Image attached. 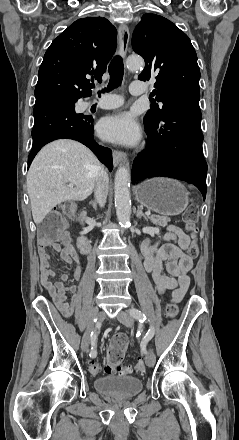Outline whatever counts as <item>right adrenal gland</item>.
Masks as SVG:
<instances>
[{
    "mask_svg": "<svg viewBox=\"0 0 239 440\" xmlns=\"http://www.w3.org/2000/svg\"><path fill=\"white\" fill-rule=\"evenodd\" d=\"M92 208H94V210H97V202L96 200H92V202H90Z\"/></svg>",
    "mask_w": 239,
    "mask_h": 440,
    "instance_id": "right-adrenal-gland-1",
    "label": "right adrenal gland"
}]
</instances>
